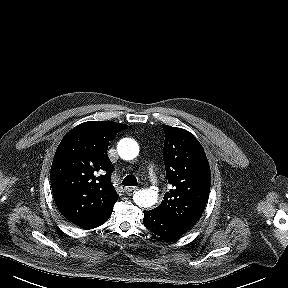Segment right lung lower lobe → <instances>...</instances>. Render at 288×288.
<instances>
[{
	"label": "right lung lower lobe",
	"instance_id": "1",
	"mask_svg": "<svg viewBox=\"0 0 288 288\" xmlns=\"http://www.w3.org/2000/svg\"><path fill=\"white\" fill-rule=\"evenodd\" d=\"M113 206L109 208L107 211H105L104 213H102L100 216L79 222L76 225L84 229H93V228L100 226L101 224L106 222L107 219L110 217L113 211Z\"/></svg>",
	"mask_w": 288,
	"mask_h": 288
}]
</instances>
